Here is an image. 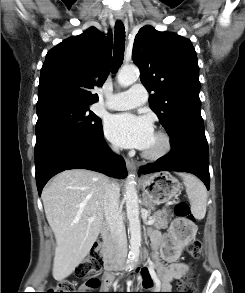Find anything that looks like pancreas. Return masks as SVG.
<instances>
[{"label": "pancreas", "mask_w": 245, "mask_h": 293, "mask_svg": "<svg viewBox=\"0 0 245 293\" xmlns=\"http://www.w3.org/2000/svg\"><path fill=\"white\" fill-rule=\"evenodd\" d=\"M150 219L153 220V226L157 229H166L168 227L169 219L163 212H154Z\"/></svg>", "instance_id": "obj_1"}]
</instances>
